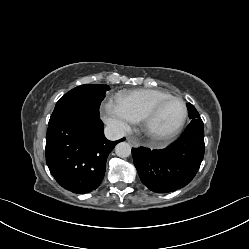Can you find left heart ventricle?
Here are the masks:
<instances>
[{
	"mask_svg": "<svg viewBox=\"0 0 249 249\" xmlns=\"http://www.w3.org/2000/svg\"><path fill=\"white\" fill-rule=\"evenodd\" d=\"M183 113V106L179 101L166 103L152 122V132L161 135L172 131L178 124Z\"/></svg>",
	"mask_w": 249,
	"mask_h": 249,
	"instance_id": "b2bd125f",
	"label": "left heart ventricle"
}]
</instances>
